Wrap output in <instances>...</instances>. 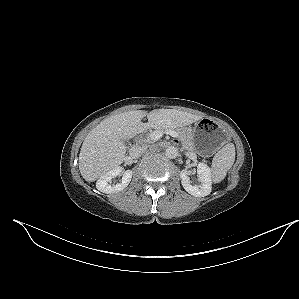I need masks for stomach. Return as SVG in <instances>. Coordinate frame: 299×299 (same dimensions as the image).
I'll return each mask as SVG.
<instances>
[{
	"label": "stomach",
	"mask_w": 299,
	"mask_h": 299,
	"mask_svg": "<svg viewBox=\"0 0 299 299\" xmlns=\"http://www.w3.org/2000/svg\"><path fill=\"white\" fill-rule=\"evenodd\" d=\"M190 131L192 146L202 156L213 155L227 140L223 128L208 118L196 122Z\"/></svg>",
	"instance_id": "0dacf381"
}]
</instances>
